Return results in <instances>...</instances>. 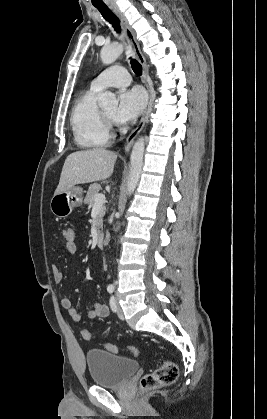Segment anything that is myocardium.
Listing matches in <instances>:
<instances>
[{
  "mask_svg": "<svg viewBox=\"0 0 267 419\" xmlns=\"http://www.w3.org/2000/svg\"><path fill=\"white\" fill-rule=\"evenodd\" d=\"M102 116H103L104 122L106 123L107 127H108V128H111V126H112V125H113V123H114V119H113V118H111L110 116H108V115L106 114V112H105V111H103V110H102Z\"/></svg>",
  "mask_w": 267,
  "mask_h": 419,
  "instance_id": "1",
  "label": "myocardium"
}]
</instances>
